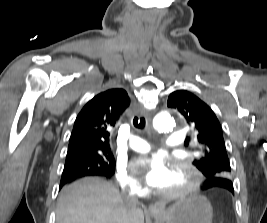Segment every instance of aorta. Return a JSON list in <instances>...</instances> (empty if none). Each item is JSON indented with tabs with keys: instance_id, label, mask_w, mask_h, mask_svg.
Segmentation results:
<instances>
[{
	"instance_id": "aorta-1",
	"label": "aorta",
	"mask_w": 267,
	"mask_h": 223,
	"mask_svg": "<svg viewBox=\"0 0 267 223\" xmlns=\"http://www.w3.org/2000/svg\"><path fill=\"white\" fill-rule=\"evenodd\" d=\"M175 125V119L171 115L157 117L154 121V127L162 132L172 131Z\"/></svg>"
}]
</instances>
